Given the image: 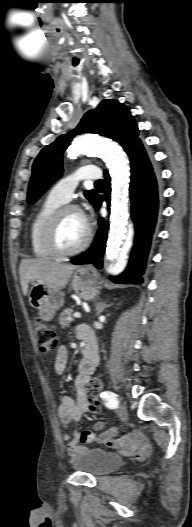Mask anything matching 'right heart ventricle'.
<instances>
[{"instance_id":"right-heart-ventricle-1","label":"right heart ventricle","mask_w":192,"mask_h":527,"mask_svg":"<svg viewBox=\"0 0 192 527\" xmlns=\"http://www.w3.org/2000/svg\"><path fill=\"white\" fill-rule=\"evenodd\" d=\"M63 203L48 196L35 212L29 227V241L32 254L40 259L53 258L44 243V231L51 215Z\"/></svg>"}]
</instances>
